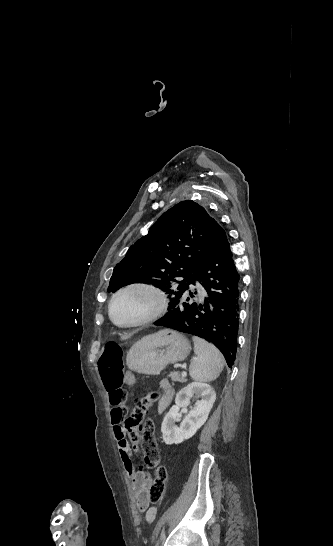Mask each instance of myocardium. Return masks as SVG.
Returning <instances> with one entry per match:
<instances>
[{
	"instance_id": "f54148a6",
	"label": "myocardium",
	"mask_w": 333,
	"mask_h": 546,
	"mask_svg": "<svg viewBox=\"0 0 333 546\" xmlns=\"http://www.w3.org/2000/svg\"><path fill=\"white\" fill-rule=\"evenodd\" d=\"M130 291H143V292L149 293L154 300L153 306L150 308V310L146 314L137 318L136 320L132 322H128V323H119L113 317V313H112L113 305L118 300L119 297H121L123 294ZM167 307H168L167 296L160 287L150 282L135 281V282H131L124 285L113 294L108 304V316L111 322L116 327L123 328V329L138 328V327L148 325L152 322H155L156 320L161 318L165 314Z\"/></svg>"
}]
</instances>
